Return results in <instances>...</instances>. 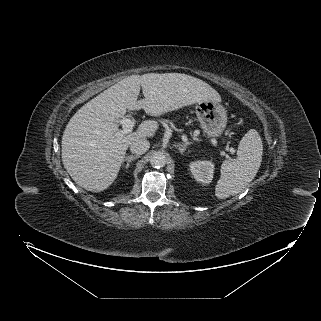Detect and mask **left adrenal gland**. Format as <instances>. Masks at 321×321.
<instances>
[{
	"mask_svg": "<svg viewBox=\"0 0 321 321\" xmlns=\"http://www.w3.org/2000/svg\"><path fill=\"white\" fill-rule=\"evenodd\" d=\"M190 145V143H178L175 145L176 148L179 149L180 153L183 154L186 150V148Z\"/></svg>",
	"mask_w": 321,
	"mask_h": 321,
	"instance_id": "obj_1",
	"label": "left adrenal gland"
}]
</instances>
